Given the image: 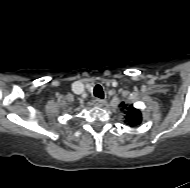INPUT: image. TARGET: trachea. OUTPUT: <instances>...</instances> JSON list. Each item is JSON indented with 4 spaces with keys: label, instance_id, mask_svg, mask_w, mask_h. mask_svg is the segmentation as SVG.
Wrapping results in <instances>:
<instances>
[{
    "label": "trachea",
    "instance_id": "3493384b",
    "mask_svg": "<svg viewBox=\"0 0 190 188\" xmlns=\"http://www.w3.org/2000/svg\"><path fill=\"white\" fill-rule=\"evenodd\" d=\"M94 96L101 98V99L104 98V92H103V89L100 85H96L94 87Z\"/></svg>",
    "mask_w": 190,
    "mask_h": 188
}]
</instances>
